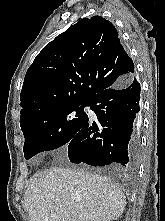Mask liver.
<instances>
[{
  "instance_id": "6515ba94",
  "label": "liver",
  "mask_w": 165,
  "mask_h": 221,
  "mask_svg": "<svg viewBox=\"0 0 165 221\" xmlns=\"http://www.w3.org/2000/svg\"><path fill=\"white\" fill-rule=\"evenodd\" d=\"M23 204L30 221H112L123 214L126 198L107 177L51 168L34 176Z\"/></svg>"
}]
</instances>
